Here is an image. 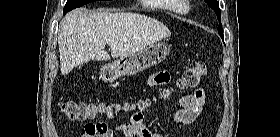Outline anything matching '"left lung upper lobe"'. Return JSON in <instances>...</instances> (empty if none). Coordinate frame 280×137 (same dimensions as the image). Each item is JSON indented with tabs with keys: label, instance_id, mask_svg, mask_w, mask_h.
<instances>
[{
	"label": "left lung upper lobe",
	"instance_id": "5c2ea615",
	"mask_svg": "<svg viewBox=\"0 0 280 137\" xmlns=\"http://www.w3.org/2000/svg\"><path fill=\"white\" fill-rule=\"evenodd\" d=\"M205 2H207V4L215 11V13H216V15L218 17V20L220 21L221 14H220V8H219L218 1L217 0H205ZM218 33H219L220 37L223 40V28L221 26V23L218 26Z\"/></svg>",
	"mask_w": 280,
	"mask_h": 137
}]
</instances>
